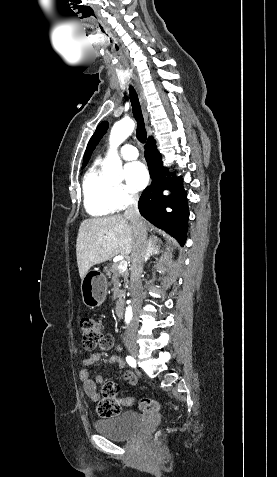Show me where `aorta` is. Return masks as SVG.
<instances>
[{
  "mask_svg": "<svg viewBox=\"0 0 277 477\" xmlns=\"http://www.w3.org/2000/svg\"><path fill=\"white\" fill-rule=\"evenodd\" d=\"M134 126L135 124L131 119H122L116 122L111 129L108 159L102 166L104 176L109 180L115 182L122 181V162L118 156L117 147L133 132ZM132 316L133 306L128 305L125 313V321L129 322Z\"/></svg>",
  "mask_w": 277,
  "mask_h": 477,
  "instance_id": "obj_1",
  "label": "aorta"
}]
</instances>
